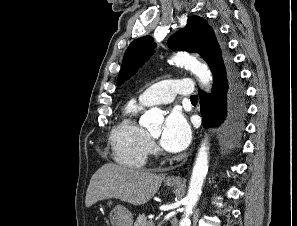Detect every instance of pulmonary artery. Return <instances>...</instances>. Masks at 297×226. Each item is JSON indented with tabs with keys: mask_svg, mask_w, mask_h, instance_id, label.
<instances>
[{
	"mask_svg": "<svg viewBox=\"0 0 297 226\" xmlns=\"http://www.w3.org/2000/svg\"><path fill=\"white\" fill-rule=\"evenodd\" d=\"M193 83L191 79H169L157 82L146 88L139 100L146 106L171 103L176 95L191 97Z\"/></svg>",
	"mask_w": 297,
	"mask_h": 226,
	"instance_id": "pulmonary-artery-1",
	"label": "pulmonary artery"
}]
</instances>
